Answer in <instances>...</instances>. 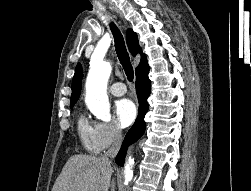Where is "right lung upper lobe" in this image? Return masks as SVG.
<instances>
[{"label":"right lung upper lobe","mask_w":251,"mask_h":191,"mask_svg":"<svg viewBox=\"0 0 251 191\" xmlns=\"http://www.w3.org/2000/svg\"><path fill=\"white\" fill-rule=\"evenodd\" d=\"M127 45L132 53L133 56H135L137 53L141 54V60L140 64L135 69L136 79L140 77L147 76L149 73V66L147 64L146 56L142 53V50L139 46L138 37L135 32H133L131 29H128L127 35H126ZM82 67L81 64H78L75 69V74L72 80V94H71V104H75L77 100L79 99L80 93H81V86H82Z\"/></svg>","instance_id":"cb5924a9"}]
</instances>
